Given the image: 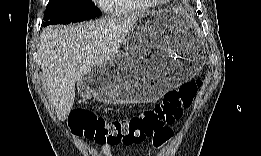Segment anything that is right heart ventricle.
Here are the masks:
<instances>
[{
  "label": "right heart ventricle",
  "instance_id": "e07e8e85",
  "mask_svg": "<svg viewBox=\"0 0 261 156\" xmlns=\"http://www.w3.org/2000/svg\"><path fill=\"white\" fill-rule=\"evenodd\" d=\"M128 2H129L128 0H108L107 5H108V9L114 11H123L131 8Z\"/></svg>",
  "mask_w": 261,
  "mask_h": 156
}]
</instances>
